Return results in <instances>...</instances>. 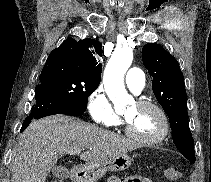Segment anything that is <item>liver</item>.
Listing matches in <instances>:
<instances>
[{
    "label": "liver",
    "mask_w": 211,
    "mask_h": 182,
    "mask_svg": "<svg viewBox=\"0 0 211 182\" xmlns=\"http://www.w3.org/2000/svg\"><path fill=\"white\" fill-rule=\"evenodd\" d=\"M84 148L92 149L81 153ZM136 148L133 141L77 118L52 115L33 121L21 134L11 165V182H45L63 155H78L91 163Z\"/></svg>",
    "instance_id": "liver-1"
}]
</instances>
